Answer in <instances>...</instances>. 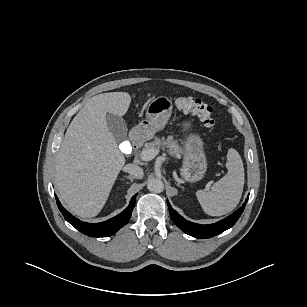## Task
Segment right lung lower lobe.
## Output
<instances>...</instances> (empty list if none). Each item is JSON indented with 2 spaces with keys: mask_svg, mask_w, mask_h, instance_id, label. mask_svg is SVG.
I'll return each mask as SVG.
<instances>
[{
  "mask_svg": "<svg viewBox=\"0 0 307 307\" xmlns=\"http://www.w3.org/2000/svg\"><path fill=\"white\" fill-rule=\"evenodd\" d=\"M134 195L129 203V206L120 214L111 218L107 221L101 223H85L74 216H72L68 211H66L61 205L60 201L56 197L57 206L60 212L63 214L66 221H68L72 226H74L81 233L88 235L90 237H108L116 233L121 227L127 224L129 221L132 210L135 206Z\"/></svg>",
  "mask_w": 307,
  "mask_h": 307,
  "instance_id": "1",
  "label": "right lung lower lobe"
}]
</instances>
